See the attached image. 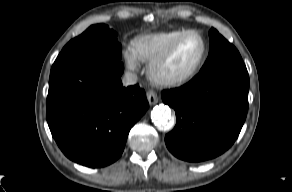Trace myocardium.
Here are the masks:
<instances>
[{
	"label": "myocardium",
	"instance_id": "f54148a6",
	"mask_svg": "<svg viewBox=\"0 0 292 192\" xmlns=\"http://www.w3.org/2000/svg\"><path fill=\"white\" fill-rule=\"evenodd\" d=\"M196 35L200 38L203 46L201 57L188 72L181 75H169L165 72V66L177 50L180 43L189 35ZM209 54V46L205 37L197 30H186L178 36L168 48L149 66L148 73L152 81L166 87L180 86L194 79L204 67Z\"/></svg>",
	"mask_w": 292,
	"mask_h": 192
}]
</instances>
